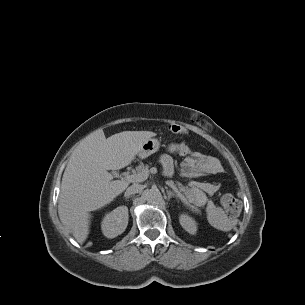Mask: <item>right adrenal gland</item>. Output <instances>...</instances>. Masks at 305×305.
I'll use <instances>...</instances> for the list:
<instances>
[{
  "label": "right adrenal gland",
  "mask_w": 305,
  "mask_h": 305,
  "mask_svg": "<svg viewBox=\"0 0 305 305\" xmlns=\"http://www.w3.org/2000/svg\"><path fill=\"white\" fill-rule=\"evenodd\" d=\"M129 198H130V196H126V197H125V199H129Z\"/></svg>",
  "instance_id": "obj_1"
}]
</instances>
